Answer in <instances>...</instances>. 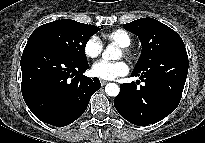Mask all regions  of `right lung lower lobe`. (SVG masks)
<instances>
[{"label": "right lung lower lobe", "mask_w": 205, "mask_h": 143, "mask_svg": "<svg viewBox=\"0 0 205 143\" xmlns=\"http://www.w3.org/2000/svg\"><path fill=\"white\" fill-rule=\"evenodd\" d=\"M20 65L21 91L28 108L53 126H67L78 119L101 86L98 78L83 75L88 63L76 62L39 41L27 42Z\"/></svg>", "instance_id": "obj_1"}]
</instances>
